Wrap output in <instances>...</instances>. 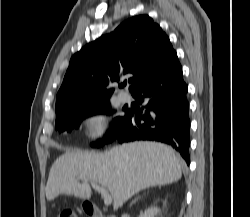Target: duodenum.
I'll return each instance as SVG.
<instances>
[{"mask_svg": "<svg viewBox=\"0 0 250 217\" xmlns=\"http://www.w3.org/2000/svg\"><path fill=\"white\" fill-rule=\"evenodd\" d=\"M84 209L89 217H115L113 215L104 214L98 206L92 203H86Z\"/></svg>", "mask_w": 250, "mask_h": 217, "instance_id": "1", "label": "duodenum"}]
</instances>
